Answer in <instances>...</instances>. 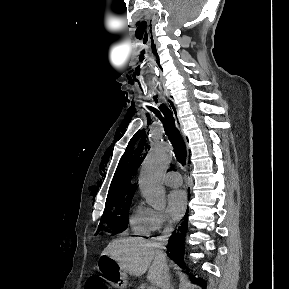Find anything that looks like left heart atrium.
Returning a JSON list of instances; mask_svg holds the SVG:
<instances>
[{
    "label": "left heart atrium",
    "instance_id": "1",
    "mask_svg": "<svg viewBox=\"0 0 289 289\" xmlns=\"http://www.w3.org/2000/svg\"><path fill=\"white\" fill-rule=\"evenodd\" d=\"M187 207V196L183 190L176 189L167 196L168 213L172 219H179L185 213Z\"/></svg>",
    "mask_w": 289,
    "mask_h": 289
}]
</instances>
